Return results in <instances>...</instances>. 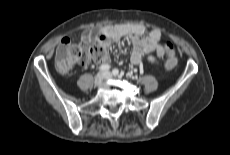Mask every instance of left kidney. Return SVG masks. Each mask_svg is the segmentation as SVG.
<instances>
[{"mask_svg": "<svg viewBox=\"0 0 230 155\" xmlns=\"http://www.w3.org/2000/svg\"><path fill=\"white\" fill-rule=\"evenodd\" d=\"M148 61H150L151 63H155L156 62V59H155V57H153V56H148Z\"/></svg>", "mask_w": 230, "mask_h": 155, "instance_id": "left-kidney-1", "label": "left kidney"}]
</instances>
